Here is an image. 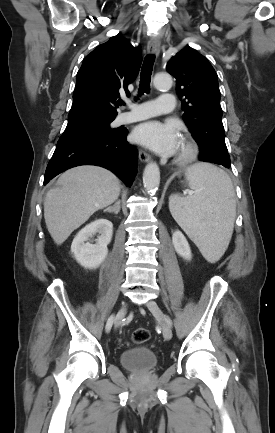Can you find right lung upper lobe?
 Here are the masks:
<instances>
[{
    "mask_svg": "<svg viewBox=\"0 0 275 433\" xmlns=\"http://www.w3.org/2000/svg\"><path fill=\"white\" fill-rule=\"evenodd\" d=\"M142 62L139 48L120 34L99 45L84 59L76 77L69 118L86 115L116 116L119 91L137 77Z\"/></svg>",
    "mask_w": 275,
    "mask_h": 433,
    "instance_id": "cb5924a9",
    "label": "right lung upper lobe"
}]
</instances>
